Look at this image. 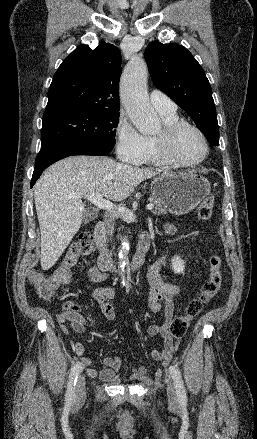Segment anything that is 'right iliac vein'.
<instances>
[{
	"label": "right iliac vein",
	"instance_id": "obj_1",
	"mask_svg": "<svg viewBox=\"0 0 257 439\" xmlns=\"http://www.w3.org/2000/svg\"><path fill=\"white\" fill-rule=\"evenodd\" d=\"M86 396V388H85V378L83 375H80L77 379L76 387H75V398L77 401H83Z\"/></svg>",
	"mask_w": 257,
	"mask_h": 439
}]
</instances>
